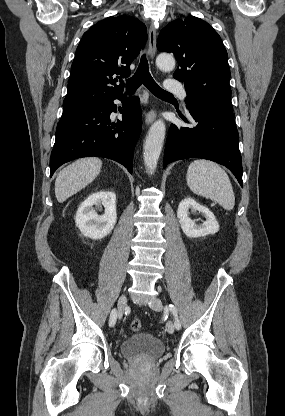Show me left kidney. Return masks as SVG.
Here are the masks:
<instances>
[{
  "label": "left kidney",
  "mask_w": 285,
  "mask_h": 416,
  "mask_svg": "<svg viewBox=\"0 0 285 416\" xmlns=\"http://www.w3.org/2000/svg\"><path fill=\"white\" fill-rule=\"evenodd\" d=\"M189 210L192 212H202L206 218V222H203L202 226H196L195 220H191ZM177 218L179 224L188 238H201V236H209V234H216L219 232V224L216 222V218L208 208L200 206L192 198H185L178 206Z\"/></svg>",
  "instance_id": "left-kidney-1"
}]
</instances>
